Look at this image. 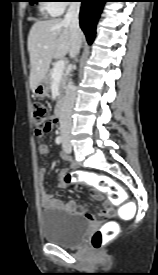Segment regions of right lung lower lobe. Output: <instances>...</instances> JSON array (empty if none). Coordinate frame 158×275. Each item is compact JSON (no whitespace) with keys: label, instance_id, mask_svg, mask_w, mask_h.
<instances>
[{"label":"right lung lower lobe","instance_id":"98d812e1","mask_svg":"<svg viewBox=\"0 0 158 275\" xmlns=\"http://www.w3.org/2000/svg\"><path fill=\"white\" fill-rule=\"evenodd\" d=\"M106 1L107 0H81L80 27L84 31L89 44L94 41L97 21Z\"/></svg>","mask_w":158,"mask_h":275}]
</instances>
